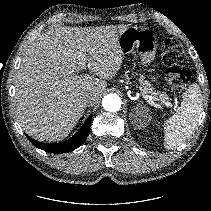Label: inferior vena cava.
<instances>
[{"mask_svg": "<svg viewBox=\"0 0 211 211\" xmlns=\"http://www.w3.org/2000/svg\"><path fill=\"white\" fill-rule=\"evenodd\" d=\"M93 96L91 94H85L81 97V102L84 104V105H87V106H90L92 105L93 103Z\"/></svg>", "mask_w": 211, "mask_h": 211, "instance_id": "obj_1", "label": "inferior vena cava"}]
</instances>
